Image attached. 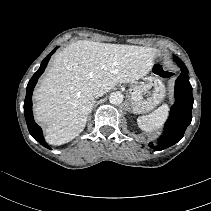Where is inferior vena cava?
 I'll return each mask as SVG.
<instances>
[{"instance_id": "obj_1", "label": "inferior vena cava", "mask_w": 211, "mask_h": 211, "mask_svg": "<svg viewBox=\"0 0 211 211\" xmlns=\"http://www.w3.org/2000/svg\"><path fill=\"white\" fill-rule=\"evenodd\" d=\"M105 93V91L101 88H96L94 91H93V95L94 97L98 98V97H101L103 96Z\"/></svg>"}]
</instances>
